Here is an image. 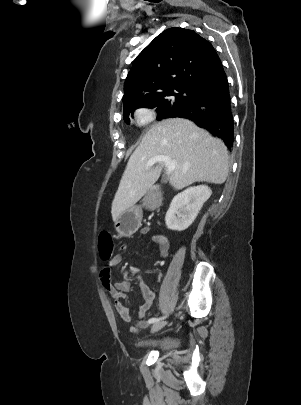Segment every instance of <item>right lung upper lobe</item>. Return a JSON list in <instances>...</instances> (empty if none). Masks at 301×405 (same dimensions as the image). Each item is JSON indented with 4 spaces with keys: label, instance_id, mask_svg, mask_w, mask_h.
Instances as JSON below:
<instances>
[{
    "label": "right lung upper lobe",
    "instance_id": "obj_1",
    "mask_svg": "<svg viewBox=\"0 0 301 405\" xmlns=\"http://www.w3.org/2000/svg\"><path fill=\"white\" fill-rule=\"evenodd\" d=\"M225 76L210 42L193 30L170 28L135 59L125 81L123 110L134 109L145 98L172 89L201 92Z\"/></svg>",
    "mask_w": 301,
    "mask_h": 405
}]
</instances>
